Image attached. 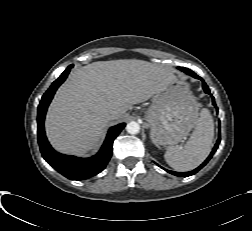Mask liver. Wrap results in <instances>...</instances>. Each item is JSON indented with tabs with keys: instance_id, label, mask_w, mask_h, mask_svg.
I'll list each match as a JSON object with an SVG mask.
<instances>
[{
	"instance_id": "6515ba94",
	"label": "liver",
	"mask_w": 252,
	"mask_h": 231,
	"mask_svg": "<svg viewBox=\"0 0 252 231\" xmlns=\"http://www.w3.org/2000/svg\"><path fill=\"white\" fill-rule=\"evenodd\" d=\"M174 80L169 69L136 59L75 69L49 106L47 137L59 152L84 154L95 147L110 120L123 118L133 104L147 101Z\"/></svg>"
}]
</instances>
